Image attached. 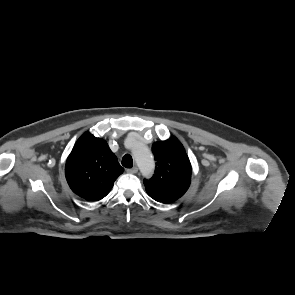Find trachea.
I'll list each match as a JSON object with an SVG mask.
<instances>
[{"label":"trachea","instance_id":"trachea-1","mask_svg":"<svg viewBox=\"0 0 295 295\" xmlns=\"http://www.w3.org/2000/svg\"><path fill=\"white\" fill-rule=\"evenodd\" d=\"M122 165L125 168H132V166H133L132 156L129 155V154L124 155L123 158H122Z\"/></svg>","mask_w":295,"mask_h":295}]
</instances>
